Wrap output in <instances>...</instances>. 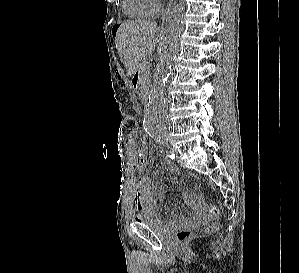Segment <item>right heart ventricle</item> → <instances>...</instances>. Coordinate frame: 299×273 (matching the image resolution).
I'll return each instance as SVG.
<instances>
[{"mask_svg":"<svg viewBox=\"0 0 299 273\" xmlns=\"http://www.w3.org/2000/svg\"><path fill=\"white\" fill-rule=\"evenodd\" d=\"M123 11L128 17L135 19H147L155 13L147 0H123Z\"/></svg>","mask_w":299,"mask_h":273,"instance_id":"1","label":"right heart ventricle"}]
</instances>
